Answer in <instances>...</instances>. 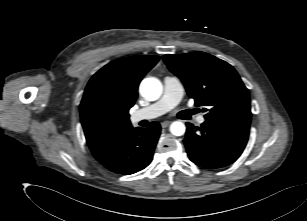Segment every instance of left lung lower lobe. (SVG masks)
Instances as JSON below:
<instances>
[{
    "mask_svg": "<svg viewBox=\"0 0 307 221\" xmlns=\"http://www.w3.org/2000/svg\"><path fill=\"white\" fill-rule=\"evenodd\" d=\"M184 140L190 160L204 168H222L242 154L250 126L231 121L206 120L200 127L186 123Z\"/></svg>",
    "mask_w": 307,
    "mask_h": 221,
    "instance_id": "left-lung-lower-lobe-1",
    "label": "left lung lower lobe"
}]
</instances>
